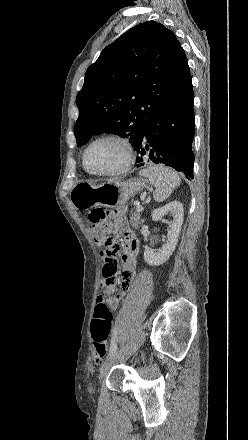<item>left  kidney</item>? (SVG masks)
I'll return each mask as SVG.
<instances>
[{
  "label": "left kidney",
  "mask_w": 248,
  "mask_h": 440,
  "mask_svg": "<svg viewBox=\"0 0 248 440\" xmlns=\"http://www.w3.org/2000/svg\"><path fill=\"white\" fill-rule=\"evenodd\" d=\"M170 214L173 217V222L169 226L167 240L162 248L158 251L145 250L144 260L149 265H161L165 263L175 250L178 242V236L183 224L184 209L179 201H172L164 207L156 209L152 214L154 221L161 220L165 215Z\"/></svg>",
  "instance_id": "obj_1"
}]
</instances>
